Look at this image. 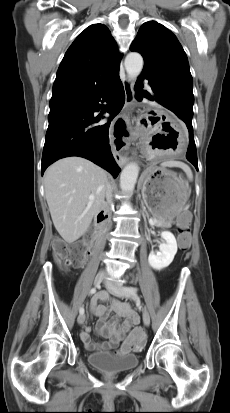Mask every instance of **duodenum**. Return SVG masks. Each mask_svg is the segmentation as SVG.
Here are the masks:
<instances>
[{
    "label": "duodenum",
    "instance_id": "obj_1",
    "mask_svg": "<svg viewBox=\"0 0 230 413\" xmlns=\"http://www.w3.org/2000/svg\"><path fill=\"white\" fill-rule=\"evenodd\" d=\"M108 221V212L106 209H101L96 215V224L101 229Z\"/></svg>",
    "mask_w": 230,
    "mask_h": 413
}]
</instances>
